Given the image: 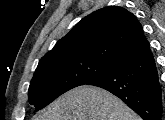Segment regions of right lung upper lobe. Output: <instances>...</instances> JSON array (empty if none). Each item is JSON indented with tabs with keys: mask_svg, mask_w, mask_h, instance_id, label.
I'll list each match as a JSON object with an SVG mask.
<instances>
[{
	"mask_svg": "<svg viewBox=\"0 0 165 120\" xmlns=\"http://www.w3.org/2000/svg\"><path fill=\"white\" fill-rule=\"evenodd\" d=\"M148 45L136 17L122 7L110 6L83 18L41 58L39 64L70 58L120 64Z\"/></svg>",
	"mask_w": 165,
	"mask_h": 120,
	"instance_id": "right-lung-upper-lobe-1",
	"label": "right lung upper lobe"
}]
</instances>
